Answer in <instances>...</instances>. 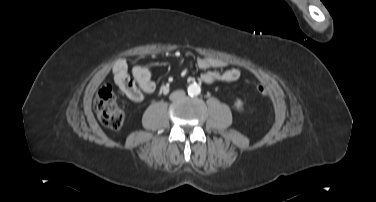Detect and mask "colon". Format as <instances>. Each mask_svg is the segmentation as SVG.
I'll list each match as a JSON object with an SVG mask.
<instances>
[{"label": "colon", "instance_id": "colon-1", "mask_svg": "<svg viewBox=\"0 0 376 202\" xmlns=\"http://www.w3.org/2000/svg\"><path fill=\"white\" fill-rule=\"evenodd\" d=\"M258 93L264 95L267 88L263 84L256 86ZM94 110L99 121L106 127L117 130L123 126L125 112L118 103L116 95L109 85H103L94 99Z\"/></svg>", "mask_w": 376, "mask_h": 202}]
</instances>
